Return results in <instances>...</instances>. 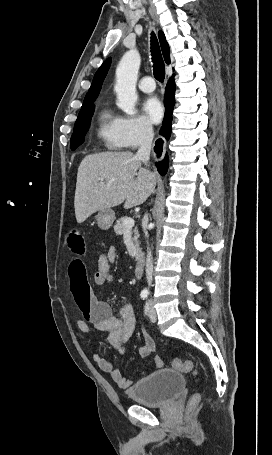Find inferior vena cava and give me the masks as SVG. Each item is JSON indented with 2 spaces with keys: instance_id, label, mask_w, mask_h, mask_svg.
<instances>
[{
  "instance_id": "602c4592",
  "label": "inferior vena cava",
  "mask_w": 272,
  "mask_h": 455,
  "mask_svg": "<svg viewBox=\"0 0 272 455\" xmlns=\"http://www.w3.org/2000/svg\"><path fill=\"white\" fill-rule=\"evenodd\" d=\"M154 137L153 128L151 125H145L141 135L140 141V148L136 153V157L143 161L146 165L150 159L152 141ZM147 218V215L144 216ZM145 236H148L147 231L144 229ZM152 273H153V258L150 249H147V257H146V279L148 285L151 286L152 284Z\"/></svg>"
}]
</instances>
